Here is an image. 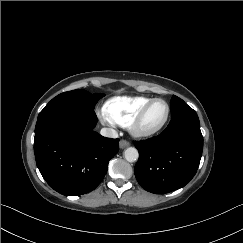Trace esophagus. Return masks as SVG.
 <instances>
[{"label":"esophagus","instance_id":"obj_1","mask_svg":"<svg viewBox=\"0 0 243 243\" xmlns=\"http://www.w3.org/2000/svg\"><path fill=\"white\" fill-rule=\"evenodd\" d=\"M119 146H120L121 149H124V148L130 146V143L128 141H126V140H121L119 142Z\"/></svg>","mask_w":243,"mask_h":243}]
</instances>
